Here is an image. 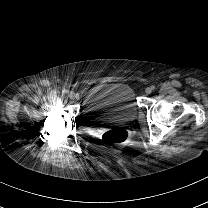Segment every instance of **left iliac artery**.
Returning <instances> with one entry per match:
<instances>
[{"mask_svg":"<svg viewBox=\"0 0 208 208\" xmlns=\"http://www.w3.org/2000/svg\"><path fill=\"white\" fill-rule=\"evenodd\" d=\"M151 89H152V90H154V89H155V86H154V85H152V86H151Z\"/></svg>","mask_w":208,"mask_h":208,"instance_id":"44dca946","label":"left iliac artery"}]
</instances>
